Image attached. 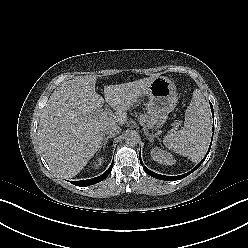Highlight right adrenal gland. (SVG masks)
Listing matches in <instances>:
<instances>
[{"mask_svg": "<svg viewBox=\"0 0 248 248\" xmlns=\"http://www.w3.org/2000/svg\"><path fill=\"white\" fill-rule=\"evenodd\" d=\"M109 138H111V136H107L106 138H104L100 148H103V150H105V147H106V144H107Z\"/></svg>", "mask_w": 248, "mask_h": 248, "instance_id": "1", "label": "right adrenal gland"}]
</instances>
